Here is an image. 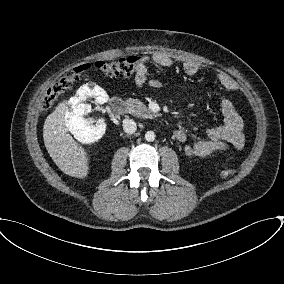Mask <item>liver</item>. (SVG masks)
I'll return each instance as SVG.
<instances>
[{
  "label": "liver",
  "instance_id": "6515ba94",
  "mask_svg": "<svg viewBox=\"0 0 284 284\" xmlns=\"http://www.w3.org/2000/svg\"><path fill=\"white\" fill-rule=\"evenodd\" d=\"M65 101L58 104L55 111L49 114L43 126L45 147L58 166L65 174L84 179L89 170L85 149L69 134L66 126Z\"/></svg>",
  "mask_w": 284,
  "mask_h": 284
}]
</instances>
